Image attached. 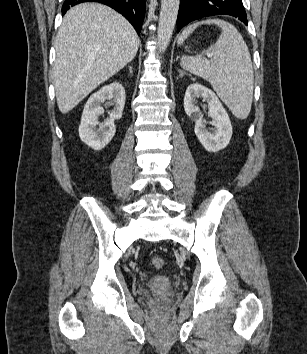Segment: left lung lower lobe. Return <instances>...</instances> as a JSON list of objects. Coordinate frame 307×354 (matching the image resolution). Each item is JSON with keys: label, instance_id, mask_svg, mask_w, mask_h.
I'll list each match as a JSON object with an SVG mask.
<instances>
[{"label": "left lung lower lobe", "instance_id": "left-lung-lower-lobe-1", "mask_svg": "<svg viewBox=\"0 0 307 354\" xmlns=\"http://www.w3.org/2000/svg\"><path fill=\"white\" fill-rule=\"evenodd\" d=\"M215 15L234 16L247 25L242 0H180L177 31L191 21Z\"/></svg>", "mask_w": 307, "mask_h": 354}]
</instances>
